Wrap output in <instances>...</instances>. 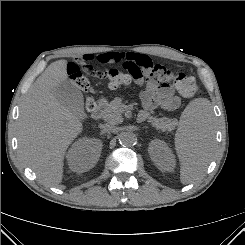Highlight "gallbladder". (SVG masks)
I'll use <instances>...</instances> for the list:
<instances>
[{"label":"gallbladder","instance_id":"bac80fb5","mask_svg":"<svg viewBox=\"0 0 245 245\" xmlns=\"http://www.w3.org/2000/svg\"><path fill=\"white\" fill-rule=\"evenodd\" d=\"M58 102L79 118L85 116L81 91L69 80L60 83L53 91Z\"/></svg>","mask_w":245,"mask_h":245}]
</instances>
